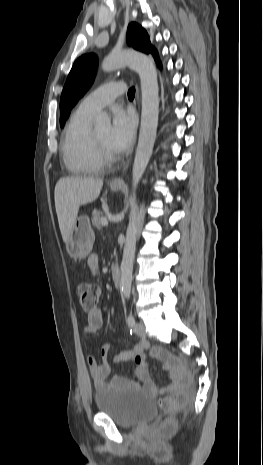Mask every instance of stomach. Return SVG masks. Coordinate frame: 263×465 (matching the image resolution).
I'll use <instances>...</instances> for the list:
<instances>
[{
    "instance_id": "0dacf381",
    "label": "stomach",
    "mask_w": 263,
    "mask_h": 465,
    "mask_svg": "<svg viewBox=\"0 0 263 465\" xmlns=\"http://www.w3.org/2000/svg\"><path fill=\"white\" fill-rule=\"evenodd\" d=\"M112 191H118L121 186H111ZM95 234L92 230L88 216L82 215L76 218L69 238L66 242L67 253L75 259L85 258L92 250Z\"/></svg>"
}]
</instances>
